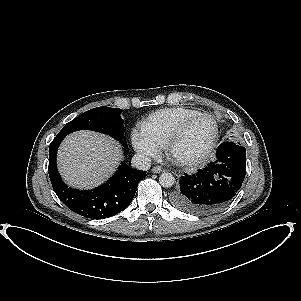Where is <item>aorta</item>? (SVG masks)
I'll use <instances>...</instances> for the list:
<instances>
[{
	"label": "aorta",
	"mask_w": 301,
	"mask_h": 301,
	"mask_svg": "<svg viewBox=\"0 0 301 301\" xmlns=\"http://www.w3.org/2000/svg\"><path fill=\"white\" fill-rule=\"evenodd\" d=\"M159 183L164 188H170L175 183L174 176L169 172H164L159 177Z\"/></svg>",
	"instance_id": "1"
}]
</instances>
